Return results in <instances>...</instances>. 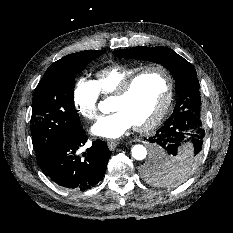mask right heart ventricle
I'll use <instances>...</instances> for the list:
<instances>
[{
  "label": "right heart ventricle",
  "instance_id": "1",
  "mask_svg": "<svg viewBox=\"0 0 233 233\" xmlns=\"http://www.w3.org/2000/svg\"><path fill=\"white\" fill-rule=\"evenodd\" d=\"M142 66L110 65L95 73V84L104 96L112 95L121 83Z\"/></svg>",
  "mask_w": 233,
  "mask_h": 233
}]
</instances>
